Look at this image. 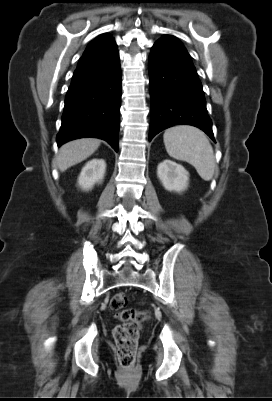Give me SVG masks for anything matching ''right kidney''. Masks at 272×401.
Instances as JSON below:
<instances>
[{
    "label": "right kidney",
    "instance_id": "1",
    "mask_svg": "<svg viewBox=\"0 0 272 401\" xmlns=\"http://www.w3.org/2000/svg\"><path fill=\"white\" fill-rule=\"evenodd\" d=\"M106 163L103 159H92L82 168L78 177V185L83 190H90L96 183H100L105 175Z\"/></svg>",
    "mask_w": 272,
    "mask_h": 401
}]
</instances>
